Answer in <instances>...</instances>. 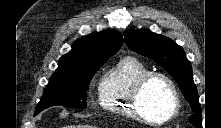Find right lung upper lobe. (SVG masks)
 Returning a JSON list of instances; mask_svg holds the SVG:
<instances>
[{
	"instance_id": "cb5924a9",
	"label": "right lung upper lobe",
	"mask_w": 221,
	"mask_h": 128,
	"mask_svg": "<svg viewBox=\"0 0 221 128\" xmlns=\"http://www.w3.org/2000/svg\"><path fill=\"white\" fill-rule=\"evenodd\" d=\"M122 43V35L112 30L82 37L75 41L69 53L60 58L56 72L102 61L113 56L121 48Z\"/></svg>"
}]
</instances>
